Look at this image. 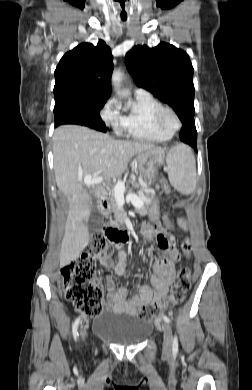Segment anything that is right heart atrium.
Returning <instances> with one entry per match:
<instances>
[{"instance_id":"right-heart-atrium-1","label":"right heart atrium","mask_w":252,"mask_h":390,"mask_svg":"<svg viewBox=\"0 0 252 390\" xmlns=\"http://www.w3.org/2000/svg\"><path fill=\"white\" fill-rule=\"evenodd\" d=\"M101 118L106 123L111 125L116 132L121 128L122 116L119 111L118 102L115 99H110L106 102L101 110Z\"/></svg>"}]
</instances>
